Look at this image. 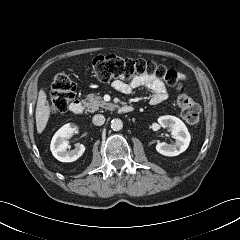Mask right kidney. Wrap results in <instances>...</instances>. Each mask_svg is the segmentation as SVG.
Wrapping results in <instances>:
<instances>
[{"mask_svg": "<svg viewBox=\"0 0 240 240\" xmlns=\"http://www.w3.org/2000/svg\"><path fill=\"white\" fill-rule=\"evenodd\" d=\"M76 126L73 123H68L62 126L53 136L50 144V150L53 156L61 162H73L81 157L85 151V146L77 144L73 150H68L70 145L66 141L74 133H76Z\"/></svg>", "mask_w": 240, "mask_h": 240, "instance_id": "right-kidney-1", "label": "right kidney"}]
</instances>
